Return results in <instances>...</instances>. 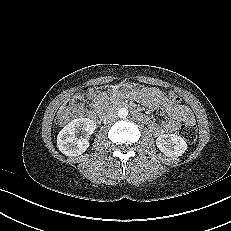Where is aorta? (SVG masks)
Instances as JSON below:
<instances>
[{"label":"aorta","instance_id":"obj_1","mask_svg":"<svg viewBox=\"0 0 231 231\" xmlns=\"http://www.w3.org/2000/svg\"><path fill=\"white\" fill-rule=\"evenodd\" d=\"M118 116L123 119L126 118L128 116V110L126 108H120L118 110Z\"/></svg>","mask_w":231,"mask_h":231}]
</instances>
